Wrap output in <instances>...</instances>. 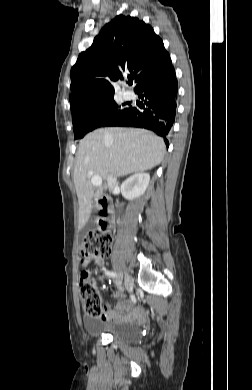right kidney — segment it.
Returning <instances> with one entry per match:
<instances>
[{"label":"right kidney","mask_w":252,"mask_h":390,"mask_svg":"<svg viewBox=\"0 0 252 390\" xmlns=\"http://www.w3.org/2000/svg\"><path fill=\"white\" fill-rule=\"evenodd\" d=\"M149 182L150 175L148 173H136L122 183L121 193L127 200H133L144 194Z\"/></svg>","instance_id":"ca27d5eb"}]
</instances>
